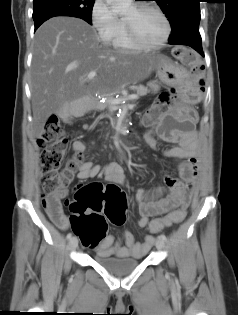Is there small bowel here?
I'll list each match as a JSON object with an SVG mask.
<instances>
[{"label": "small bowel", "mask_w": 238, "mask_h": 315, "mask_svg": "<svg viewBox=\"0 0 238 315\" xmlns=\"http://www.w3.org/2000/svg\"><path fill=\"white\" fill-rule=\"evenodd\" d=\"M155 131L146 132L144 140L151 148H156L154 139ZM161 137L166 141H177L176 146H172L164 151V154L169 157L181 159L179 164L180 179H175L172 176H166V183L173 190V197L168 200L160 201L158 198L164 193L165 188L158 186L151 189H137L135 197L138 201L139 220L138 225L142 228L149 223L151 216L167 214L171 215V209L180 207L182 211L181 220L185 215V208L188 205L195 186V178L197 176V158H196V143L197 135L195 132H178L174 130L161 131ZM85 146L82 141L76 140L72 144V150L82 152ZM103 174L105 179L118 184L125 182V177L122 167L117 163H110L106 166L96 165L90 161L84 162L79 169L77 178L79 180H87ZM68 194L66 189H62L51 196L47 197L49 201L48 215L53 223L60 229L66 230L72 224L68 223L61 209V200L65 199ZM55 202L52 203L51 201ZM72 217V216H70ZM164 227H168L175 223H163ZM125 245L115 244L111 235L105 237L96 245L95 251L103 257L118 256V257H142L154 244V237L147 235L143 242H137L134 235L125 231L123 233Z\"/></svg>", "instance_id": "c3829d8e"}]
</instances>
